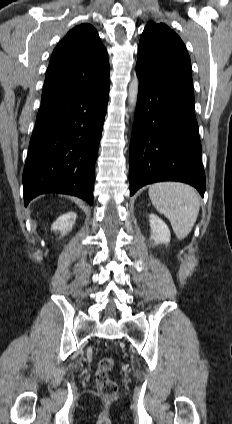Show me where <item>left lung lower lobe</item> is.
Returning <instances> with one entry per match:
<instances>
[{
	"label": "left lung lower lobe",
	"mask_w": 232,
	"mask_h": 424,
	"mask_svg": "<svg viewBox=\"0 0 232 424\" xmlns=\"http://www.w3.org/2000/svg\"><path fill=\"white\" fill-rule=\"evenodd\" d=\"M137 75L139 91L130 143V195L146 184L180 181L194 186L204 196L205 173L192 78Z\"/></svg>",
	"instance_id": "left-lung-lower-lobe-1"
}]
</instances>
